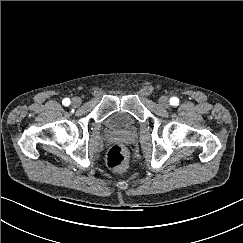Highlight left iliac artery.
<instances>
[{
    "mask_svg": "<svg viewBox=\"0 0 243 243\" xmlns=\"http://www.w3.org/2000/svg\"><path fill=\"white\" fill-rule=\"evenodd\" d=\"M178 103H179V99H178V98H176V97H172V98L170 99V104H171L172 106H177Z\"/></svg>",
    "mask_w": 243,
    "mask_h": 243,
    "instance_id": "1",
    "label": "left iliac artery"
}]
</instances>
